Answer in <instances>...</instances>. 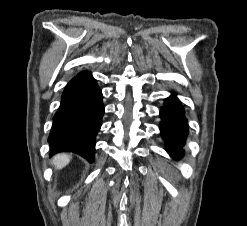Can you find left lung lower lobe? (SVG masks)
<instances>
[{"label":"left lung lower lobe","mask_w":247,"mask_h":226,"mask_svg":"<svg viewBox=\"0 0 247 226\" xmlns=\"http://www.w3.org/2000/svg\"><path fill=\"white\" fill-rule=\"evenodd\" d=\"M160 116L162 118L160 130L167 141V152L178 159L182 156L181 148L188 134L187 120L180 101L175 96L167 98L161 108Z\"/></svg>","instance_id":"obj_1"}]
</instances>
